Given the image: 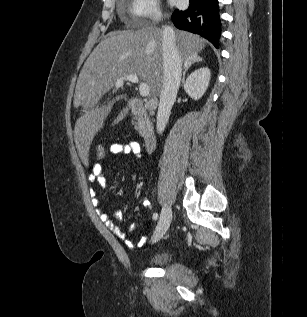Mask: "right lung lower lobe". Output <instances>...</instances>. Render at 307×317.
Wrapping results in <instances>:
<instances>
[{"instance_id": "1", "label": "right lung lower lobe", "mask_w": 307, "mask_h": 317, "mask_svg": "<svg viewBox=\"0 0 307 317\" xmlns=\"http://www.w3.org/2000/svg\"><path fill=\"white\" fill-rule=\"evenodd\" d=\"M174 25L208 39L218 48L221 26L217 0H190L187 10H175L172 14Z\"/></svg>"}]
</instances>
